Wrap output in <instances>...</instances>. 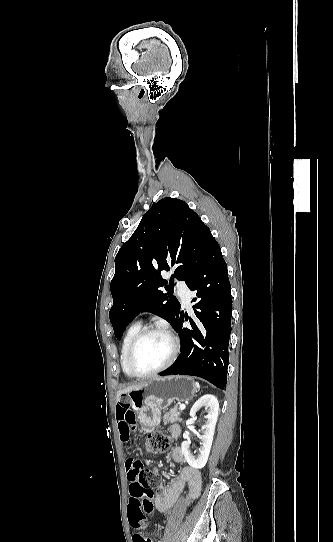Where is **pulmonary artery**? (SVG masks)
Masks as SVG:
<instances>
[{"label": "pulmonary artery", "mask_w": 333, "mask_h": 542, "mask_svg": "<svg viewBox=\"0 0 333 542\" xmlns=\"http://www.w3.org/2000/svg\"><path fill=\"white\" fill-rule=\"evenodd\" d=\"M177 289L179 290L180 295L178 296L180 297L182 304L187 307L190 304L189 297H186L190 293L189 288L186 287V284L184 282H179L177 284Z\"/></svg>", "instance_id": "obj_1"}]
</instances>
